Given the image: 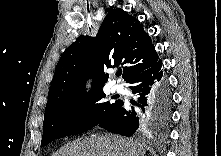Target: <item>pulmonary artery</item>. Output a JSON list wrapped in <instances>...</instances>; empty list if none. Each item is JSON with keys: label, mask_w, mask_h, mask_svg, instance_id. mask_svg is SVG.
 Masks as SVG:
<instances>
[{"label": "pulmonary artery", "mask_w": 221, "mask_h": 156, "mask_svg": "<svg viewBox=\"0 0 221 156\" xmlns=\"http://www.w3.org/2000/svg\"><path fill=\"white\" fill-rule=\"evenodd\" d=\"M113 90L116 91V92H123L124 88L121 84L117 83L113 86Z\"/></svg>", "instance_id": "pulmonary-artery-1"}]
</instances>
